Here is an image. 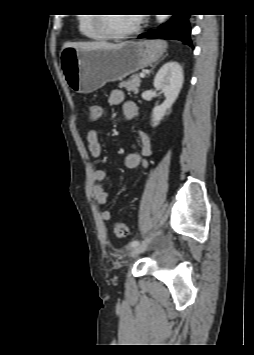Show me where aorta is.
<instances>
[{"label":"aorta","mask_w":254,"mask_h":355,"mask_svg":"<svg viewBox=\"0 0 254 355\" xmlns=\"http://www.w3.org/2000/svg\"><path fill=\"white\" fill-rule=\"evenodd\" d=\"M168 18V15H157V21L163 23Z\"/></svg>","instance_id":"aorta-1"}]
</instances>
